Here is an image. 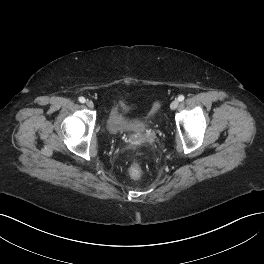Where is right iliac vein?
<instances>
[{
  "label": "right iliac vein",
  "instance_id": "1",
  "mask_svg": "<svg viewBox=\"0 0 264 264\" xmlns=\"http://www.w3.org/2000/svg\"><path fill=\"white\" fill-rule=\"evenodd\" d=\"M86 105L91 109L94 107V103L91 100L86 101Z\"/></svg>",
  "mask_w": 264,
  "mask_h": 264
}]
</instances>
